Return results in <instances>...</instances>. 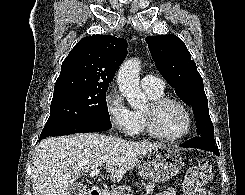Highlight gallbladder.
<instances>
[{
	"mask_svg": "<svg viewBox=\"0 0 245 195\" xmlns=\"http://www.w3.org/2000/svg\"><path fill=\"white\" fill-rule=\"evenodd\" d=\"M69 195H86L87 188L81 182L73 183L68 188Z\"/></svg>",
	"mask_w": 245,
	"mask_h": 195,
	"instance_id": "bac80fb5",
	"label": "gallbladder"
}]
</instances>
